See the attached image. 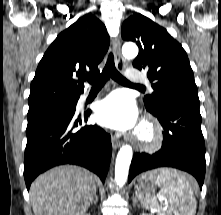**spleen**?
I'll list each match as a JSON object with an SVG mask.
<instances>
[{
	"instance_id": "obj_1",
	"label": "spleen",
	"mask_w": 221,
	"mask_h": 215,
	"mask_svg": "<svg viewBox=\"0 0 221 215\" xmlns=\"http://www.w3.org/2000/svg\"><path fill=\"white\" fill-rule=\"evenodd\" d=\"M167 195V201L174 210L175 215H195L197 202L193 189L195 180L175 170L164 169L156 179ZM145 208H157L159 203L156 196L147 193L141 201Z\"/></svg>"
}]
</instances>
